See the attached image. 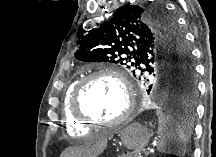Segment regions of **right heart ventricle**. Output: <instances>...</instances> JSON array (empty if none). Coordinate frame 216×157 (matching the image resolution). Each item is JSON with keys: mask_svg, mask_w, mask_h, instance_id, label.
I'll list each match as a JSON object with an SVG mask.
<instances>
[{"mask_svg": "<svg viewBox=\"0 0 216 157\" xmlns=\"http://www.w3.org/2000/svg\"><path fill=\"white\" fill-rule=\"evenodd\" d=\"M78 81H73L65 90L62 100V115L66 131L73 136H86L90 133L87 125L81 123L71 113L70 103L73 90Z\"/></svg>", "mask_w": 216, "mask_h": 157, "instance_id": "obj_1", "label": "right heart ventricle"}]
</instances>
